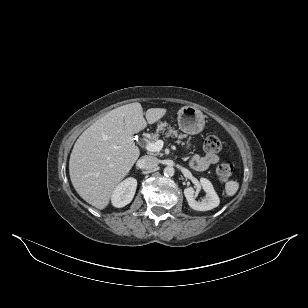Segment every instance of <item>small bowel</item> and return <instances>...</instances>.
I'll return each mask as SVG.
<instances>
[{"instance_id": "small-bowel-1", "label": "small bowel", "mask_w": 308, "mask_h": 308, "mask_svg": "<svg viewBox=\"0 0 308 308\" xmlns=\"http://www.w3.org/2000/svg\"><path fill=\"white\" fill-rule=\"evenodd\" d=\"M219 161V157L215 153H207L203 156L194 155L190 159V165L196 170H206L211 165L216 164Z\"/></svg>"}]
</instances>
